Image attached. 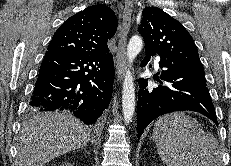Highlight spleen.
<instances>
[{
	"instance_id": "obj_1",
	"label": "spleen",
	"mask_w": 231,
	"mask_h": 166,
	"mask_svg": "<svg viewBox=\"0 0 231 166\" xmlns=\"http://www.w3.org/2000/svg\"><path fill=\"white\" fill-rule=\"evenodd\" d=\"M153 137L158 154L167 166H222L217 139L203 131L195 118L183 112L159 117Z\"/></svg>"
}]
</instances>
